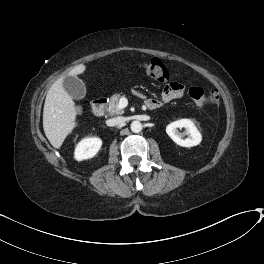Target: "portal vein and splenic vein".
<instances>
[{
    "label": "portal vein and splenic vein",
    "mask_w": 264,
    "mask_h": 264,
    "mask_svg": "<svg viewBox=\"0 0 264 264\" xmlns=\"http://www.w3.org/2000/svg\"><path fill=\"white\" fill-rule=\"evenodd\" d=\"M128 105V100L126 98H121L118 103V108L123 109Z\"/></svg>",
    "instance_id": "obj_1"
}]
</instances>
